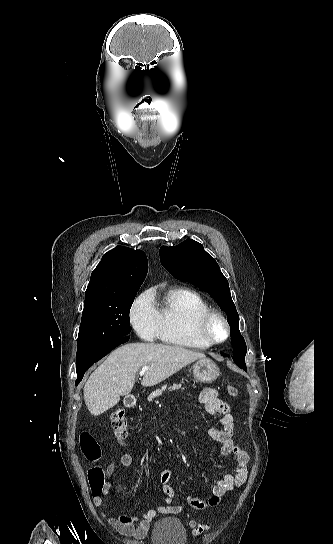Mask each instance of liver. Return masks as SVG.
Wrapping results in <instances>:
<instances>
[{
  "label": "liver",
  "mask_w": 333,
  "mask_h": 544,
  "mask_svg": "<svg viewBox=\"0 0 333 544\" xmlns=\"http://www.w3.org/2000/svg\"><path fill=\"white\" fill-rule=\"evenodd\" d=\"M202 358L205 355L201 352L172 345H123L112 351L90 375L84 386L85 404L93 416H98L114 407L120 396L131 392L140 369L147 368L141 384L150 387Z\"/></svg>",
  "instance_id": "obj_1"
}]
</instances>
